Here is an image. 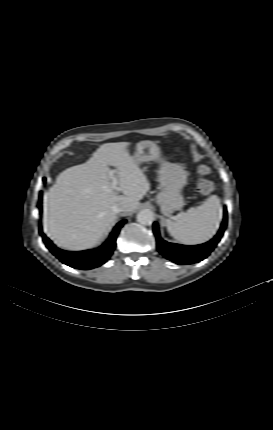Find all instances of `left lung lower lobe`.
Here are the masks:
<instances>
[{
  "instance_id": "obj_1",
  "label": "left lung lower lobe",
  "mask_w": 273,
  "mask_h": 430,
  "mask_svg": "<svg viewBox=\"0 0 273 430\" xmlns=\"http://www.w3.org/2000/svg\"><path fill=\"white\" fill-rule=\"evenodd\" d=\"M226 225L227 209L224 208L223 222L217 235L211 241L195 246H185L164 241L160 237L156 222L153 224V232L157 240V249L165 258L177 264H192L205 259L214 250L224 233Z\"/></svg>"
}]
</instances>
